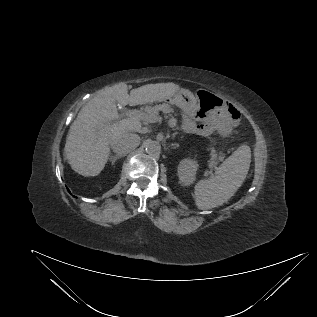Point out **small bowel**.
<instances>
[{"mask_svg": "<svg viewBox=\"0 0 317 317\" xmlns=\"http://www.w3.org/2000/svg\"><path fill=\"white\" fill-rule=\"evenodd\" d=\"M216 126H217V123L214 119H209L207 122L199 126H195L192 123H188L186 125L188 130L195 131L201 135L211 134L215 130Z\"/></svg>", "mask_w": 317, "mask_h": 317, "instance_id": "obj_1", "label": "small bowel"}]
</instances>
